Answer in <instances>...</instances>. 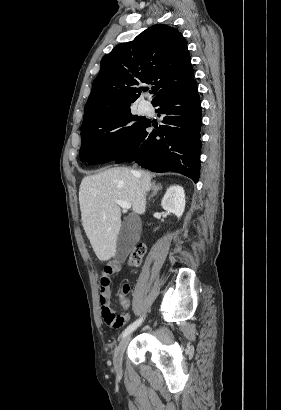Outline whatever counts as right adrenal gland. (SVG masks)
<instances>
[{
    "mask_svg": "<svg viewBox=\"0 0 281 410\" xmlns=\"http://www.w3.org/2000/svg\"><path fill=\"white\" fill-rule=\"evenodd\" d=\"M161 189H162V185H161V184H155V183H153V184H152V194H151V196L149 197V200H150L152 197L156 196V194L158 193V191L161 190Z\"/></svg>",
    "mask_w": 281,
    "mask_h": 410,
    "instance_id": "1",
    "label": "right adrenal gland"
}]
</instances>
